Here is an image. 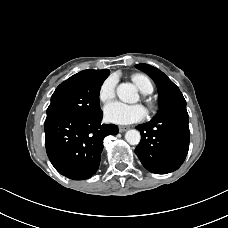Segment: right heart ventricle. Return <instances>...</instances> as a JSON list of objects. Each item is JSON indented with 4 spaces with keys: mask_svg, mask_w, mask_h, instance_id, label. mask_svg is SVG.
I'll list each match as a JSON object with an SVG mask.
<instances>
[{
    "mask_svg": "<svg viewBox=\"0 0 228 228\" xmlns=\"http://www.w3.org/2000/svg\"><path fill=\"white\" fill-rule=\"evenodd\" d=\"M132 80L143 94H151L153 92V85L145 75L134 74L132 75Z\"/></svg>",
    "mask_w": 228,
    "mask_h": 228,
    "instance_id": "right-heart-ventricle-1",
    "label": "right heart ventricle"
}]
</instances>
